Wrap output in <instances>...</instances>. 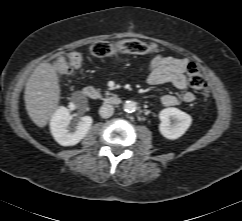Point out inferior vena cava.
I'll list each match as a JSON object with an SVG mask.
<instances>
[{"instance_id": "inferior-vena-cava-1", "label": "inferior vena cava", "mask_w": 242, "mask_h": 221, "mask_svg": "<svg viewBox=\"0 0 242 221\" xmlns=\"http://www.w3.org/2000/svg\"><path fill=\"white\" fill-rule=\"evenodd\" d=\"M114 108L110 104H104L99 109V114L102 118H109L113 115Z\"/></svg>"}]
</instances>
